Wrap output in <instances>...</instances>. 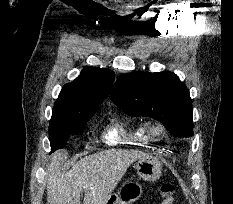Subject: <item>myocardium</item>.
<instances>
[{
	"label": "myocardium",
	"instance_id": "obj_1",
	"mask_svg": "<svg viewBox=\"0 0 233 204\" xmlns=\"http://www.w3.org/2000/svg\"><path fill=\"white\" fill-rule=\"evenodd\" d=\"M143 129L150 138H161L166 134V127L164 124L155 120L146 121Z\"/></svg>",
	"mask_w": 233,
	"mask_h": 204
}]
</instances>
